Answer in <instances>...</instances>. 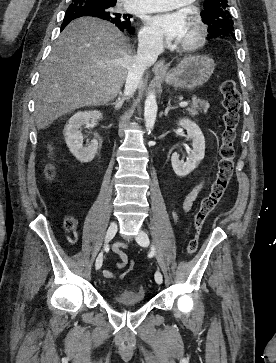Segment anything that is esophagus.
<instances>
[{
	"mask_svg": "<svg viewBox=\"0 0 276 363\" xmlns=\"http://www.w3.org/2000/svg\"><path fill=\"white\" fill-rule=\"evenodd\" d=\"M153 72L156 74H163L166 72L165 60H159L153 67Z\"/></svg>",
	"mask_w": 276,
	"mask_h": 363,
	"instance_id": "34e87169",
	"label": "esophagus"
}]
</instances>
